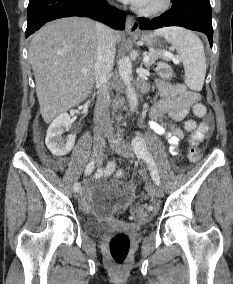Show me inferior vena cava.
<instances>
[{
	"label": "inferior vena cava",
	"instance_id": "602c4592",
	"mask_svg": "<svg viewBox=\"0 0 233 284\" xmlns=\"http://www.w3.org/2000/svg\"><path fill=\"white\" fill-rule=\"evenodd\" d=\"M97 58L95 63V79L98 97L94 111V124L97 131L111 132L112 121L109 114L110 96L108 80L114 64L116 40L113 30L102 23L96 24Z\"/></svg>",
	"mask_w": 233,
	"mask_h": 284
}]
</instances>
